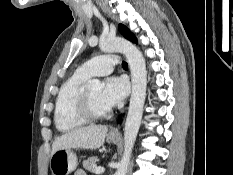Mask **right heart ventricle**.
Wrapping results in <instances>:
<instances>
[{"mask_svg":"<svg viewBox=\"0 0 233 175\" xmlns=\"http://www.w3.org/2000/svg\"><path fill=\"white\" fill-rule=\"evenodd\" d=\"M77 73L60 87L54 108V123L61 132H70L86 125L88 121L76 112V102L86 81Z\"/></svg>","mask_w":233,"mask_h":175,"instance_id":"obj_1","label":"right heart ventricle"}]
</instances>
